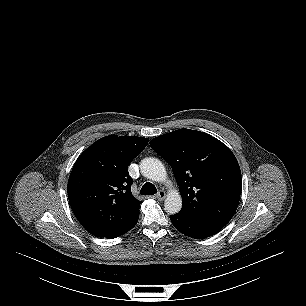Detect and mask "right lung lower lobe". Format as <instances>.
I'll use <instances>...</instances> for the list:
<instances>
[{
  "mask_svg": "<svg viewBox=\"0 0 306 306\" xmlns=\"http://www.w3.org/2000/svg\"><path fill=\"white\" fill-rule=\"evenodd\" d=\"M138 218H139V217H138ZM137 221H138V219H137ZM137 221H136V222H135V223L132 225V227H131V228H133V227L135 226V224L137 223ZM131 228H130V229H131Z\"/></svg>",
  "mask_w": 306,
  "mask_h": 306,
  "instance_id": "right-lung-lower-lobe-1",
  "label": "right lung lower lobe"
}]
</instances>
